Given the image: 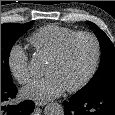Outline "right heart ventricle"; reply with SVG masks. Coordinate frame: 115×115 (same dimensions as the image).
<instances>
[{"label": "right heart ventricle", "mask_w": 115, "mask_h": 115, "mask_svg": "<svg viewBox=\"0 0 115 115\" xmlns=\"http://www.w3.org/2000/svg\"><path fill=\"white\" fill-rule=\"evenodd\" d=\"M75 33L77 31L71 28L49 24L36 30L29 37V41L37 53L50 58L60 45Z\"/></svg>", "instance_id": "obj_1"}]
</instances>
